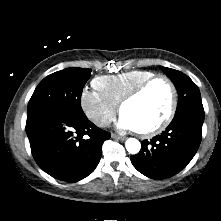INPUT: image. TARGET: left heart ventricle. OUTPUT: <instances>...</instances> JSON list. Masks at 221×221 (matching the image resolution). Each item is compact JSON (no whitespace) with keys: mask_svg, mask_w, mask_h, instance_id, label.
Segmentation results:
<instances>
[{"mask_svg":"<svg viewBox=\"0 0 221 221\" xmlns=\"http://www.w3.org/2000/svg\"><path fill=\"white\" fill-rule=\"evenodd\" d=\"M170 105V90L163 81H157L135 100L127 103L122 114L127 115L137 130L157 125L166 115Z\"/></svg>","mask_w":221,"mask_h":221,"instance_id":"1","label":"left heart ventricle"}]
</instances>
